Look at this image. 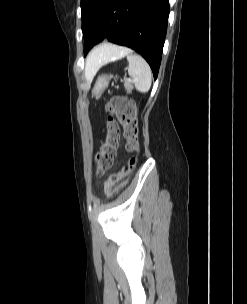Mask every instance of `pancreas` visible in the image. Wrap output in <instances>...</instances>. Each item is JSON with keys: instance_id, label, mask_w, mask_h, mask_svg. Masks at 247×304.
<instances>
[{"instance_id": "pancreas-1", "label": "pancreas", "mask_w": 247, "mask_h": 304, "mask_svg": "<svg viewBox=\"0 0 247 304\" xmlns=\"http://www.w3.org/2000/svg\"><path fill=\"white\" fill-rule=\"evenodd\" d=\"M124 86H125V89H126L128 92H129V91L131 90V88H132V85H131V83H130L128 80L125 81Z\"/></svg>"}]
</instances>
